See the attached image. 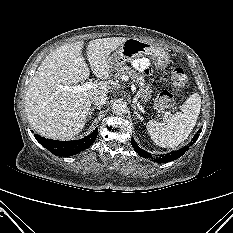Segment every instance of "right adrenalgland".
Returning a JSON list of instances; mask_svg holds the SVG:
<instances>
[{
    "label": "right adrenal gland",
    "mask_w": 233,
    "mask_h": 233,
    "mask_svg": "<svg viewBox=\"0 0 233 233\" xmlns=\"http://www.w3.org/2000/svg\"><path fill=\"white\" fill-rule=\"evenodd\" d=\"M95 109H100V107H95V106H93L92 108H90V111H89V113H88V119L91 118V115H92V113H93V111H94Z\"/></svg>",
    "instance_id": "2a0ac1e0"
}]
</instances>
